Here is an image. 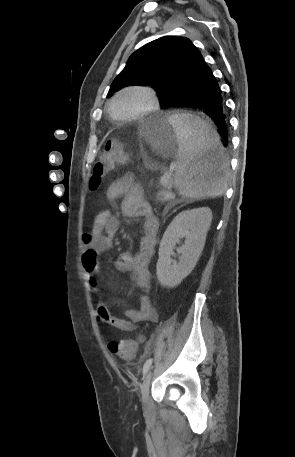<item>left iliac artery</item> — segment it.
I'll list each match as a JSON object with an SVG mask.
<instances>
[{"mask_svg":"<svg viewBox=\"0 0 295 457\" xmlns=\"http://www.w3.org/2000/svg\"><path fill=\"white\" fill-rule=\"evenodd\" d=\"M152 362H153V360H152L151 358H149V359L145 362V364H144V366H143V374H144V375H145V374L148 372V370L150 369V367H151V365H152Z\"/></svg>","mask_w":295,"mask_h":457,"instance_id":"1","label":"left iliac artery"}]
</instances>
